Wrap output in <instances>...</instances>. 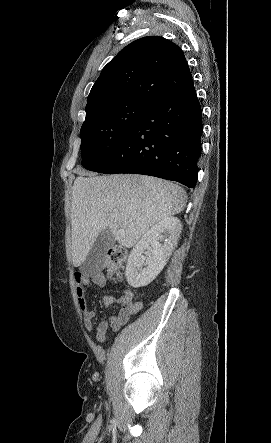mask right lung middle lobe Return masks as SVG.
Here are the masks:
<instances>
[{
  "mask_svg": "<svg viewBox=\"0 0 271 443\" xmlns=\"http://www.w3.org/2000/svg\"><path fill=\"white\" fill-rule=\"evenodd\" d=\"M151 102L126 99L98 106L81 128L82 166L94 171L116 151Z\"/></svg>",
  "mask_w": 271,
  "mask_h": 443,
  "instance_id": "obj_1",
  "label": "right lung middle lobe"
}]
</instances>
